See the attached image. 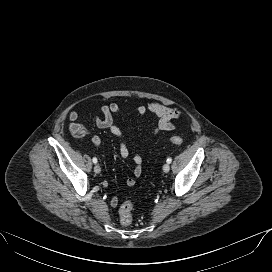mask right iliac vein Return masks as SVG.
<instances>
[{
  "instance_id": "1",
  "label": "right iliac vein",
  "mask_w": 272,
  "mask_h": 272,
  "mask_svg": "<svg viewBox=\"0 0 272 272\" xmlns=\"http://www.w3.org/2000/svg\"><path fill=\"white\" fill-rule=\"evenodd\" d=\"M100 171H101L100 166H99L98 164H96V165L94 166V172L97 173V174H99Z\"/></svg>"
}]
</instances>
